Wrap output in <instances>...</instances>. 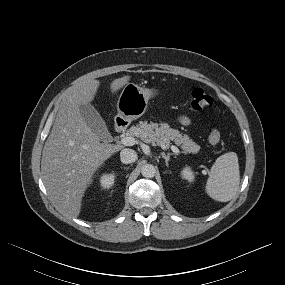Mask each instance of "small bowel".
Instances as JSON below:
<instances>
[{"instance_id":"c3829d8e","label":"small bowel","mask_w":285,"mask_h":285,"mask_svg":"<svg viewBox=\"0 0 285 285\" xmlns=\"http://www.w3.org/2000/svg\"><path fill=\"white\" fill-rule=\"evenodd\" d=\"M179 121L183 125H189L190 124V118L188 116H186V115L180 116Z\"/></svg>"}]
</instances>
